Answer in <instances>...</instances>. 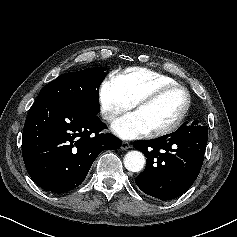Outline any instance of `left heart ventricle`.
<instances>
[{
  "label": "left heart ventricle",
  "instance_id": "1",
  "mask_svg": "<svg viewBox=\"0 0 237 237\" xmlns=\"http://www.w3.org/2000/svg\"><path fill=\"white\" fill-rule=\"evenodd\" d=\"M185 105V94L179 89L165 92L153 102L141 106L135 112L149 131L171 124Z\"/></svg>",
  "mask_w": 237,
  "mask_h": 237
}]
</instances>
